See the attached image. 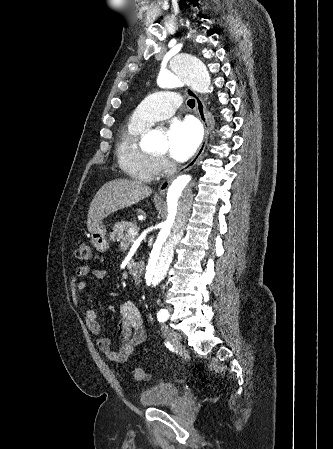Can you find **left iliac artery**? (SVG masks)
Listing matches in <instances>:
<instances>
[{
	"mask_svg": "<svg viewBox=\"0 0 333 449\" xmlns=\"http://www.w3.org/2000/svg\"><path fill=\"white\" fill-rule=\"evenodd\" d=\"M168 317H169V313L166 309H161L158 312L157 318H158L159 322L162 323V322L166 321L168 319Z\"/></svg>",
	"mask_w": 333,
	"mask_h": 449,
	"instance_id": "obj_1",
	"label": "left iliac artery"
}]
</instances>
